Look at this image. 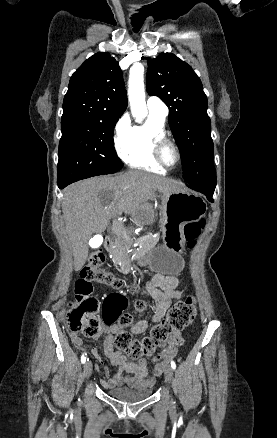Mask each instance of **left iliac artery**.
<instances>
[{"label": "left iliac artery", "instance_id": "44dca946", "mask_svg": "<svg viewBox=\"0 0 277 438\" xmlns=\"http://www.w3.org/2000/svg\"><path fill=\"white\" fill-rule=\"evenodd\" d=\"M171 367H172V369H175V368H176V364H175L174 361H171Z\"/></svg>", "mask_w": 277, "mask_h": 438}]
</instances>
